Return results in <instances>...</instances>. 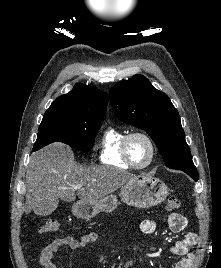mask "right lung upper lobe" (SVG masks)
<instances>
[{
    "mask_svg": "<svg viewBox=\"0 0 221 268\" xmlns=\"http://www.w3.org/2000/svg\"><path fill=\"white\" fill-rule=\"evenodd\" d=\"M107 104V93L77 83L72 91L56 98L46 113L58 112L84 120L102 121Z\"/></svg>",
    "mask_w": 221,
    "mask_h": 268,
    "instance_id": "cb5924a9",
    "label": "right lung upper lobe"
}]
</instances>
